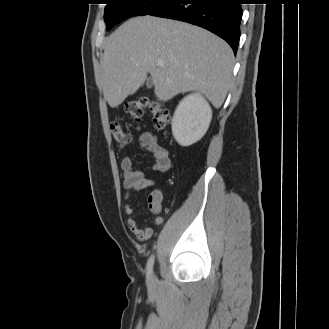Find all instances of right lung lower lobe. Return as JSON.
Listing matches in <instances>:
<instances>
[{
  "mask_svg": "<svg viewBox=\"0 0 329 329\" xmlns=\"http://www.w3.org/2000/svg\"><path fill=\"white\" fill-rule=\"evenodd\" d=\"M152 16L188 22L223 38L236 54L242 18L241 0H172Z\"/></svg>",
  "mask_w": 329,
  "mask_h": 329,
  "instance_id": "1",
  "label": "right lung lower lobe"
}]
</instances>
